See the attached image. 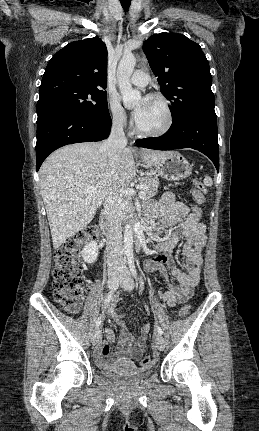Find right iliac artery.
<instances>
[{
	"mask_svg": "<svg viewBox=\"0 0 259 431\" xmlns=\"http://www.w3.org/2000/svg\"><path fill=\"white\" fill-rule=\"evenodd\" d=\"M114 291H115V289H112L107 294L104 305H103V309H105L108 306V304L110 303V301L112 300L113 295H114ZM100 323H101V315L96 320V328L99 327Z\"/></svg>",
	"mask_w": 259,
	"mask_h": 431,
	"instance_id": "82829eb1",
	"label": "right iliac artery"
}]
</instances>
